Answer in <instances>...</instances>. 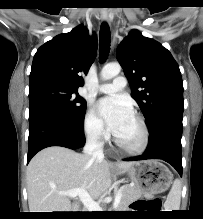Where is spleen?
Masks as SVG:
<instances>
[{"instance_id": "3e777b00", "label": "spleen", "mask_w": 203, "mask_h": 219, "mask_svg": "<svg viewBox=\"0 0 203 219\" xmlns=\"http://www.w3.org/2000/svg\"><path fill=\"white\" fill-rule=\"evenodd\" d=\"M181 201V183L175 180L164 204L165 211L179 210Z\"/></svg>"}]
</instances>
